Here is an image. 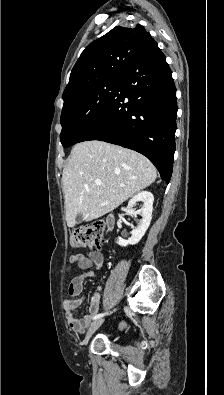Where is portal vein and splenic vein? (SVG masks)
<instances>
[{
  "label": "portal vein and splenic vein",
  "mask_w": 224,
  "mask_h": 395,
  "mask_svg": "<svg viewBox=\"0 0 224 395\" xmlns=\"http://www.w3.org/2000/svg\"><path fill=\"white\" fill-rule=\"evenodd\" d=\"M96 185H102V182L100 180H96Z\"/></svg>",
  "instance_id": "obj_1"
}]
</instances>
